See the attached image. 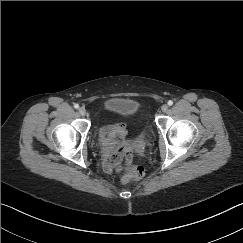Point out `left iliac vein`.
<instances>
[{"label":"left iliac vein","mask_w":243,"mask_h":243,"mask_svg":"<svg viewBox=\"0 0 243 243\" xmlns=\"http://www.w3.org/2000/svg\"><path fill=\"white\" fill-rule=\"evenodd\" d=\"M168 110V105L167 104H163L162 106H161V111L162 112H166Z\"/></svg>","instance_id":"4c4485c4"}]
</instances>
